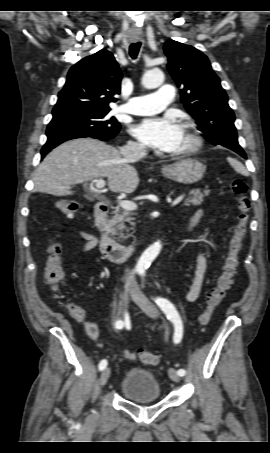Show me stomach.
<instances>
[{
  "label": "stomach",
  "mask_w": 270,
  "mask_h": 453,
  "mask_svg": "<svg viewBox=\"0 0 270 453\" xmlns=\"http://www.w3.org/2000/svg\"><path fill=\"white\" fill-rule=\"evenodd\" d=\"M161 171L165 177L173 181L182 184H194L203 178L205 168L198 160L187 158L165 165Z\"/></svg>",
  "instance_id": "obj_1"
}]
</instances>
